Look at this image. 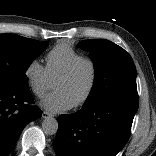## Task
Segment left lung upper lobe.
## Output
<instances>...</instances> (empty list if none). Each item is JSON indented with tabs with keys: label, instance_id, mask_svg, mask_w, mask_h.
I'll use <instances>...</instances> for the list:
<instances>
[{
	"label": "left lung upper lobe",
	"instance_id": "obj_1",
	"mask_svg": "<svg viewBox=\"0 0 156 156\" xmlns=\"http://www.w3.org/2000/svg\"><path fill=\"white\" fill-rule=\"evenodd\" d=\"M78 46L90 52L95 67V81L83 107L108 99L139 102L136 68L131 56L115 43L83 40Z\"/></svg>",
	"mask_w": 156,
	"mask_h": 156
}]
</instances>
